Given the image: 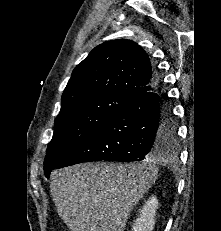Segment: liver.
<instances>
[{
	"label": "liver",
	"instance_id": "1",
	"mask_svg": "<svg viewBox=\"0 0 221 231\" xmlns=\"http://www.w3.org/2000/svg\"><path fill=\"white\" fill-rule=\"evenodd\" d=\"M160 160L167 161L165 156ZM157 175L151 159L140 164L85 163L54 171L50 191L71 231H124L130 212Z\"/></svg>",
	"mask_w": 221,
	"mask_h": 231
}]
</instances>
